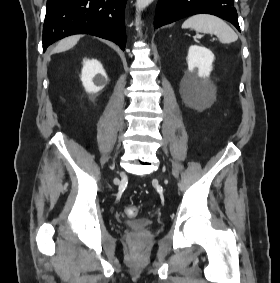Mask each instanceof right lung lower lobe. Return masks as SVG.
Returning a JSON list of instances; mask_svg holds the SVG:
<instances>
[{"label":"right lung lower lobe","mask_w":280,"mask_h":283,"mask_svg":"<svg viewBox=\"0 0 280 283\" xmlns=\"http://www.w3.org/2000/svg\"><path fill=\"white\" fill-rule=\"evenodd\" d=\"M127 0H47L43 50L66 36L90 34L126 46Z\"/></svg>","instance_id":"98d812e1"}]
</instances>
